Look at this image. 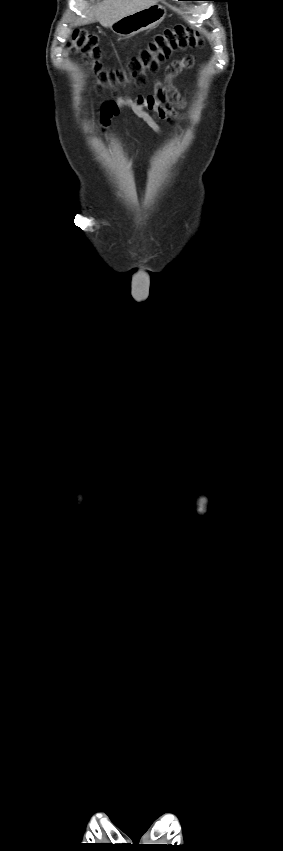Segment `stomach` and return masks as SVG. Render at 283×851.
<instances>
[{"mask_svg": "<svg viewBox=\"0 0 283 851\" xmlns=\"http://www.w3.org/2000/svg\"><path fill=\"white\" fill-rule=\"evenodd\" d=\"M165 15L166 9L156 3L118 19L110 28L121 37H131L159 25L164 20Z\"/></svg>", "mask_w": 283, "mask_h": 851, "instance_id": "stomach-1", "label": "stomach"}]
</instances>
